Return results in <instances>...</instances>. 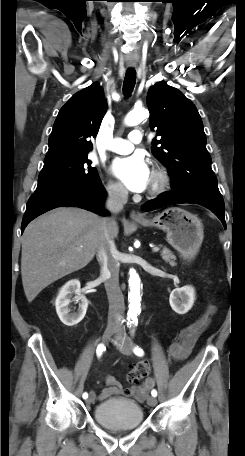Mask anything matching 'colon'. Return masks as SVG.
I'll return each mask as SVG.
<instances>
[{"mask_svg":"<svg viewBox=\"0 0 245 456\" xmlns=\"http://www.w3.org/2000/svg\"><path fill=\"white\" fill-rule=\"evenodd\" d=\"M150 371V365L147 361H141L131 368L129 372V380L132 383H138L144 379Z\"/></svg>","mask_w":245,"mask_h":456,"instance_id":"1","label":"colon"}]
</instances>
